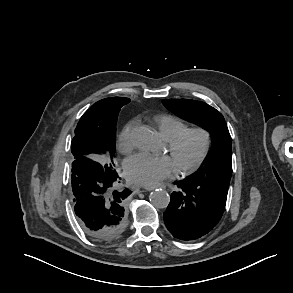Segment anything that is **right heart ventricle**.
<instances>
[{
    "label": "right heart ventricle",
    "mask_w": 293,
    "mask_h": 293,
    "mask_svg": "<svg viewBox=\"0 0 293 293\" xmlns=\"http://www.w3.org/2000/svg\"><path fill=\"white\" fill-rule=\"evenodd\" d=\"M162 137L169 141L184 131L188 126L180 118L173 115H157L153 119Z\"/></svg>",
    "instance_id": "obj_1"
}]
</instances>
